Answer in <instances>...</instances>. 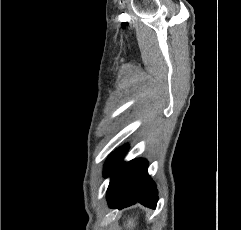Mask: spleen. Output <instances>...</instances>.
I'll return each instance as SVG.
<instances>
[{"mask_svg": "<svg viewBox=\"0 0 241 230\" xmlns=\"http://www.w3.org/2000/svg\"><path fill=\"white\" fill-rule=\"evenodd\" d=\"M134 225V221L133 220H129L128 221V227H133Z\"/></svg>", "mask_w": 241, "mask_h": 230, "instance_id": "spleen-1", "label": "spleen"}]
</instances>
